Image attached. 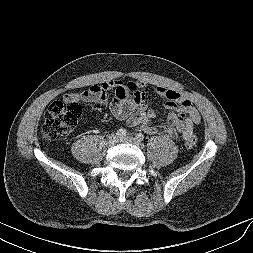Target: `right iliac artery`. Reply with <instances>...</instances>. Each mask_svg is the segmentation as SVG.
Here are the masks:
<instances>
[{"label":"right iliac artery","mask_w":253,"mask_h":253,"mask_svg":"<svg viewBox=\"0 0 253 253\" xmlns=\"http://www.w3.org/2000/svg\"><path fill=\"white\" fill-rule=\"evenodd\" d=\"M126 134H127V131H126V129H123V128L117 130V132H116V135H117L119 138L125 137Z\"/></svg>","instance_id":"82829eb1"}]
</instances>
